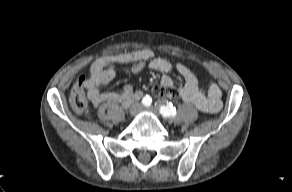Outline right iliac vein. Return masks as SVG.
I'll return each instance as SVG.
<instances>
[{
  "label": "right iliac vein",
  "instance_id": "obj_1",
  "mask_svg": "<svg viewBox=\"0 0 292 192\" xmlns=\"http://www.w3.org/2000/svg\"><path fill=\"white\" fill-rule=\"evenodd\" d=\"M140 110H141V104L136 102L131 105L129 113L131 116H135L136 114L140 112Z\"/></svg>",
  "mask_w": 292,
  "mask_h": 192
}]
</instances>
